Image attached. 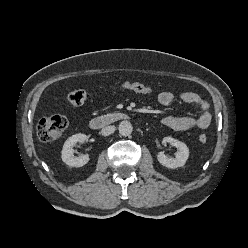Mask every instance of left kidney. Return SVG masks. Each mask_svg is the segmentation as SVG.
<instances>
[{
    "label": "left kidney",
    "instance_id": "obj_1",
    "mask_svg": "<svg viewBox=\"0 0 248 248\" xmlns=\"http://www.w3.org/2000/svg\"><path fill=\"white\" fill-rule=\"evenodd\" d=\"M169 143L178 149L175 158H168L164 152H159L157 155V160L159 163L167 168L175 169L185 165L189 157V149L187 145L175 138L165 137L163 143Z\"/></svg>",
    "mask_w": 248,
    "mask_h": 248
}]
</instances>
